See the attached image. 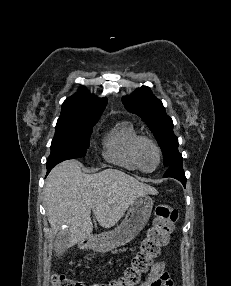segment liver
Here are the masks:
<instances>
[{
  "label": "liver",
  "instance_id": "liver-1",
  "mask_svg": "<svg viewBox=\"0 0 231 286\" xmlns=\"http://www.w3.org/2000/svg\"><path fill=\"white\" fill-rule=\"evenodd\" d=\"M148 194L157 190L120 170L84 174L77 161L68 160L48 175L44 203L52 232L65 237L63 247L70 248L92 233L91 211L100 226L111 228L137 197Z\"/></svg>",
  "mask_w": 231,
  "mask_h": 286
}]
</instances>
